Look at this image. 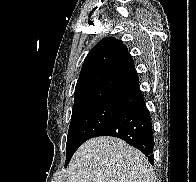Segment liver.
I'll list each match as a JSON object with an SVG mask.
<instances>
[{"label": "liver", "instance_id": "obj_1", "mask_svg": "<svg viewBox=\"0 0 196 182\" xmlns=\"http://www.w3.org/2000/svg\"><path fill=\"white\" fill-rule=\"evenodd\" d=\"M66 182H154L147 158L115 137L86 141L73 155Z\"/></svg>", "mask_w": 196, "mask_h": 182}]
</instances>
